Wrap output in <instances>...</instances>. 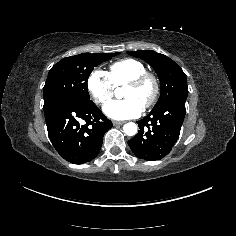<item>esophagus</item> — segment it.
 Wrapping results in <instances>:
<instances>
[{"mask_svg": "<svg viewBox=\"0 0 236 236\" xmlns=\"http://www.w3.org/2000/svg\"><path fill=\"white\" fill-rule=\"evenodd\" d=\"M125 122L124 121H113V125H122L124 124Z\"/></svg>", "mask_w": 236, "mask_h": 236, "instance_id": "34e87169", "label": "esophagus"}]
</instances>
